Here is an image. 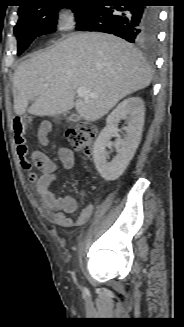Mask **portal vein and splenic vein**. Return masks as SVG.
<instances>
[{"mask_svg": "<svg viewBox=\"0 0 184 327\" xmlns=\"http://www.w3.org/2000/svg\"><path fill=\"white\" fill-rule=\"evenodd\" d=\"M77 95L79 97L94 96L93 93H91L88 89H86L84 87H80L77 89Z\"/></svg>", "mask_w": 184, "mask_h": 327, "instance_id": "18ae733b", "label": "portal vein and splenic vein"}]
</instances>
